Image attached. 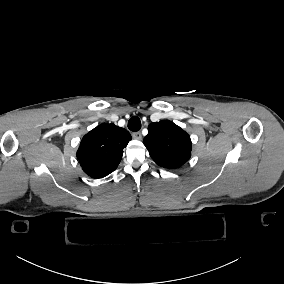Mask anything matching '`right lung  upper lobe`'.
<instances>
[{
	"label": "right lung upper lobe",
	"mask_w": 284,
	"mask_h": 284,
	"mask_svg": "<svg viewBox=\"0 0 284 284\" xmlns=\"http://www.w3.org/2000/svg\"><path fill=\"white\" fill-rule=\"evenodd\" d=\"M130 133L114 124H101L87 133L77 151L83 171L92 178H102L120 163Z\"/></svg>",
	"instance_id": "cb5924a9"
}]
</instances>
